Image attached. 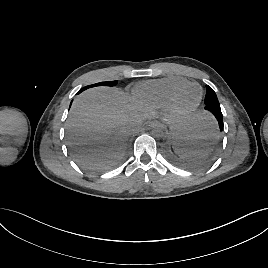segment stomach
I'll return each mask as SVG.
<instances>
[{
    "label": "stomach",
    "mask_w": 268,
    "mask_h": 268,
    "mask_svg": "<svg viewBox=\"0 0 268 268\" xmlns=\"http://www.w3.org/2000/svg\"><path fill=\"white\" fill-rule=\"evenodd\" d=\"M191 130L189 124L178 123L171 127L170 136L176 148L189 147L187 140L190 137Z\"/></svg>",
    "instance_id": "obj_1"
}]
</instances>
